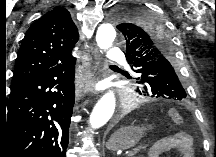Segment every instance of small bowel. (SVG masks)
<instances>
[{
    "label": "small bowel",
    "instance_id": "c3829d8e",
    "mask_svg": "<svg viewBox=\"0 0 216 157\" xmlns=\"http://www.w3.org/2000/svg\"><path fill=\"white\" fill-rule=\"evenodd\" d=\"M165 150H177L181 157L194 156V142L192 137L183 131H179L171 135L168 141L164 144Z\"/></svg>",
    "mask_w": 216,
    "mask_h": 157
}]
</instances>
